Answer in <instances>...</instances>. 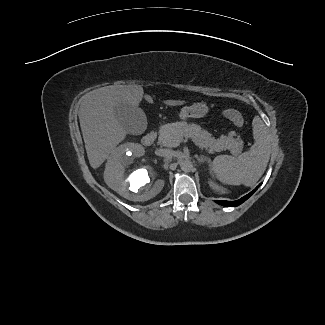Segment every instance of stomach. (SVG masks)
Wrapping results in <instances>:
<instances>
[{"label": "stomach", "mask_w": 325, "mask_h": 325, "mask_svg": "<svg viewBox=\"0 0 325 325\" xmlns=\"http://www.w3.org/2000/svg\"><path fill=\"white\" fill-rule=\"evenodd\" d=\"M208 113V106L205 103H195L192 106H185L181 109L180 118H200Z\"/></svg>", "instance_id": "obj_1"}]
</instances>
